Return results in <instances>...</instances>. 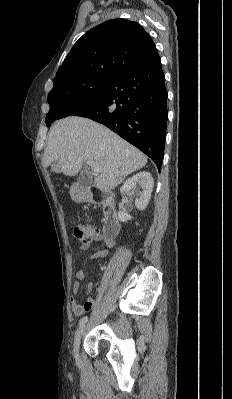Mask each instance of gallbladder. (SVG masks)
I'll list each match as a JSON object with an SVG mask.
<instances>
[{
	"label": "gallbladder",
	"mask_w": 232,
	"mask_h": 399,
	"mask_svg": "<svg viewBox=\"0 0 232 399\" xmlns=\"http://www.w3.org/2000/svg\"><path fill=\"white\" fill-rule=\"evenodd\" d=\"M82 169L84 172H81L77 182L80 184V186H82V188H90V186L93 184V178L89 172V164L83 163Z\"/></svg>",
	"instance_id": "1"
}]
</instances>
